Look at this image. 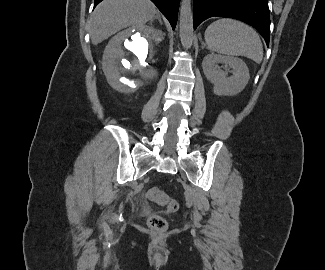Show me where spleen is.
Masks as SVG:
<instances>
[{
  "label": "spleen",
  "instance_id": "3e777b00",
  "mask_svg": "<svg viewBox=\"0 0 325 270\" xmlns=\"http://www.w3.org/2000/svg\"><path fill=\"white\" fill-rule=\"evenodd\" d=\"M205 41L210 51L262 62L263 45L258 33L241 21L228 18L215 21L206 29Z\"/></svg>",
  "mask_w": 325,
  "mask_h": 270
}]
</instances>
